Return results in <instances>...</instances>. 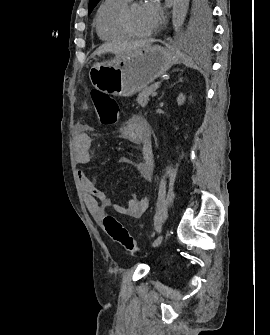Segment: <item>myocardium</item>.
I'll return each instance as SVG.
<instances>
[{
    "mask_svg": "<svg viewBox=\"0 0 270 335\" xmlns=\"http://www.w3.org/2000/svg\"><path fill=\"white\" fill-rule=\"evenodd\" d=\"M137 6V4H129L127 7L121 10L119 14V26L122 31L127 34L129 37L140 38L142 35L134 33L128 24V15L133 7Z\"/></svg>",
    "mask_w": 270,
    "mask_h": 335,
    "instance_id": "1",
    "label": "myocardium"
}]
</instances>
